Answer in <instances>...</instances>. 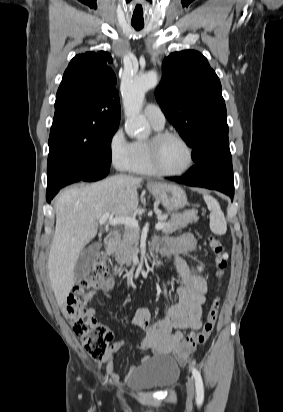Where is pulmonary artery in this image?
<instances>
[{"mask_svg":"<svg viewBox=\"0 0 283 412\" xmlns=\"http://www.w3.org/2000/svg\"><path fill=\"white\" fill-rule=\"evenodd\" d=\"M143 115L150 124L157 127H164L166 118L157 104H147L144 108Z\"/></svg>","mask_w":283,"mask_h":412,"instance_id":"e3ab8cb5","label":"pulmonary artery"}]
</instances>
